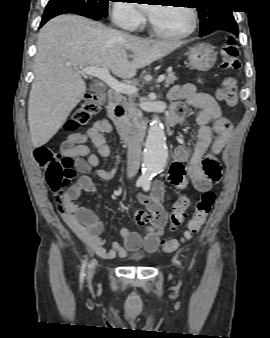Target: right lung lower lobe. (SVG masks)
<instances>
[{"instance_id": "right-lung-lower-lobe-1", "label": "right lung lower lobe", "mask_w": 270, "mask_h": 338, "mask_svg": "<svg viewBox=\"0 0 270 338\" xmlns=\"http://www.w3.org/2000/svg\"><path fill=\"white\" fill-rule=\"evenodd\" d=\"M65 13H77V14H80V15H84V16L96 19V20H99V19L103 18L100 15H97V14H94V13H90V12H84V11H76V12L48 11V12H44V15H43L40 27L42 25H44L49 19H51V18H53L55 16H58L60 14H65Z\"/></svg>"}]
</instances>
